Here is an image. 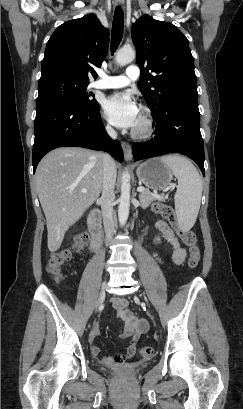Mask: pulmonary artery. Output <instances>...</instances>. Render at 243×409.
Returning <instances> with one entry per match:
<instances>
[{"label":"pulmonary artery","instance_id":"e3ab8cb5","mask_svg":"<svg viewBox=\"0 0 243 409\" xmlns=\"http://www.w3.org/2000/svg\"><path fill=\"white\" fill-rule=\"evenodd\" d=\"M139 74L138 67L133 65L126 69L125 75L109 76L100 73L101 78L93 82L92 87L98 89L122 88L128 85L130 81L137 80Z\"/></svg>","mask_w":243,"mask_h":409}]
</instances>
